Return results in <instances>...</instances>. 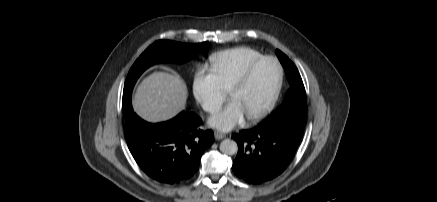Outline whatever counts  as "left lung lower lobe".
I'll return each mask as SVG.
<instances>
[{"mask_svg":"<svg viewBox=\"0 0 437 202\" xmlns=\"http://www.w3.org/2000/svg\"><path fill=\"white\" fill-rule=\"evenodd\" d=\"M302 129L289 121H277L260 123L233 135L239 147L232 165L233 172L252 184H261L277 177L294 156Z\"/></svg>","mask_w":437,"mask_h":202,"instance_id":"left-lung-lower-lobe-1","label":"left lung lower lobe"}]
</instances>
